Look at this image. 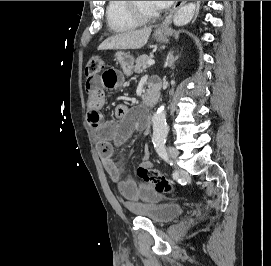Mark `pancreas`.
I'll return each mask as SVG.
<instances>
[{"mask_svg":"<svg viewBox=\"0 0 271 266\" xmlns=\"http://www.w3.org/2000/svg\"><path fill=\"white\" fill-rule=\"evenodd\" d=\"M148 60H151V57L147 56V55H141L139 56L136 61H135V65H134V71L136 73H140L142 72L143 70H145L146 68H148V65H147V61Z\"/></svg>","mask_w":271,"mask_h":266,"instance_id":"cf45deb5","label":"pancreas"}]
</instances>
